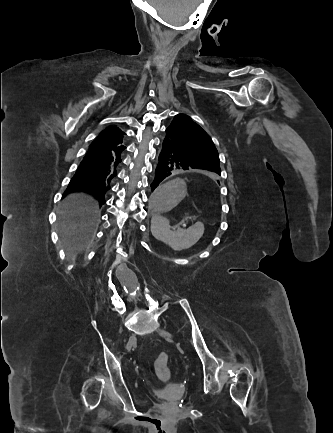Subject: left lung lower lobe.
<instances>
[{
  "instance_id": "left-lung-lower-lobe-1",
  "label": "left lung lower lobe",
  "mask_w": 333,
  "mask_h": 433,
  "mask_svg": "<svg viewBox=\"0 0 333 433\" xmlns=\"http://www.w3.org/2000/svg\"><path fill=\"white\" fill-rule=\"evenodd\" d=\"M207 170L214 172L210 168L187 157L181 152L174 150L168 139H164L162 150L159 155V163L155 170V178L151 184L152 191H156L161 186V182L176 171ZM216 173V172H214Z\"/></svg>"
}]
</instances>
